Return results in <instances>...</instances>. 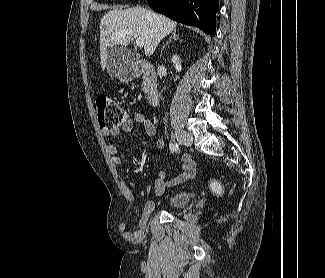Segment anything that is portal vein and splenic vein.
<instances>
[{
    "label": "portal vein and splenic vein",
    "mask_w": 325,
    "mask_h": 278,
    "mask_svg": "<svg viewBox=\"0 0 325 278\" xmlns=\"http://www.w3.org/2000/svg\"><path fill=\"white\" fill-rule=\"evenodd\" d=\"M136 45H137L138 47H143V46H144V40L141 39V38H137V39H136Z\"/></svg>",
    "instance_id": "1"
}]
</instances>
